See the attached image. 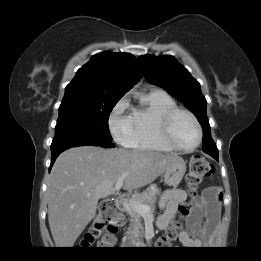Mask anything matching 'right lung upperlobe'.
Instances as JSON below:
<instances>
[{"label": "right lung upper lobe", "mask_w": 261, "mask_h": 261, "mask_svg": "<svg viewBox=\"0 0 261 261\" xmlns=\"http://www.w3.org/2000/svg\"><path fill=\"white\" fill-rule=\"evenodd\" d=\"M141 70L129 53L102 52L81 67L66 87L65 97L123 96L140 78Z\"/></svg>", "instance_id": "cb5924a9"}]
</instances>
